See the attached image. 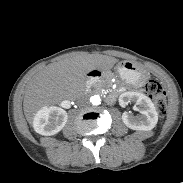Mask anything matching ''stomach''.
Instances as JSON below:
<instances>
[{
	"mask_svg": "<svg viewBox=\"0 0 183 183\" xmlns=\"http://www.w3.org/2000/svg\"><path fill=\"white\" fill-rule=\"evenodd\" d=\"M120 77L130 86L140 87L148 79V73L143 68L136 66L130 61H123L117 66Z\"/></svg>",
	"mask_w": 183,
	"mask_h": 183,
	"instance_id": "stomach-1",
	"label": "stomach"
}]
</instances>
